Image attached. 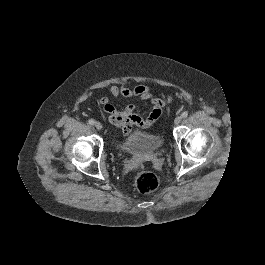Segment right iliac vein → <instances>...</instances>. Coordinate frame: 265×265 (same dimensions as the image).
<instances>
[{"instance_id":"obj_1","label":"right iliac vein","mask_w":265,"mask_h":265,"mask_svg":"<svg viewBox=\"0 0 265 265\" xmlns=\"http://www.w3.org/2000/svg\"><path fill=\"white\" fill-rule=\"evenodd\" d=\"M95 127L97 130H101L102 129V124L100 122H96L95 123Z\"/></svg>"}]
</instances>
